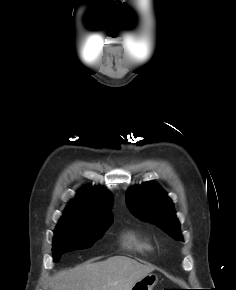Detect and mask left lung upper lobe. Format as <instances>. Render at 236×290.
<instances>
[{
    "label": "left lung upper lobe",
    "mask_w": 236,
    "mask_h": 290,
    "mask_svg": "<svg viewBox=\"0 0 236 290\" xmlns=\"http://www.w3.org/2000/svg\"><path fill=\"white\" fill-rule=\"evenodd\" d=\"M126 203L137 217L155 223L176 240H182L173 203L155 182L134 186L126 194Z\"/></svg>",
    "instance_id": "5c2ea615"
}]
</instances>
